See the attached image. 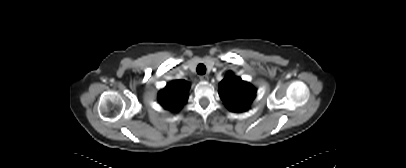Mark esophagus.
<instances>
[{
  "label": "esophagus",
  "mask_w": 406,
  "mask_h": 168,
  "mask_svg": "<svg viewBox=\"0 0 406 168\" xmlns=\"http://www.w3.org/2000/svg\"><path fill=\"white\" fill-rule=\"evenodd\" d=\"M200 80L204 81V82H207L209 80V77H208V75H201Z\"/></svg>",
  "instance_id": "34e87169"
}]
</instances>
